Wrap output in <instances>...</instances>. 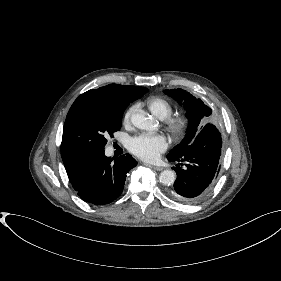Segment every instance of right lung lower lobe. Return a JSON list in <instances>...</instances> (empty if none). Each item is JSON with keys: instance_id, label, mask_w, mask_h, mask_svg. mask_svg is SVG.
I'll return each instance as SVG.
<instances>
[{"instance_id": "1", "label": "right lung lower lobe", "mask_w": 281, "mask_h": 281, "mask_svg": "<svg viewBox=\"0 0 281 281\" xmlns=\"http://www.w3.org/2000/svg\"><path fill=\"white\" fill-rule=\"evenodd\" d=\"M136 165L130 154L115 159L106 157L102 151L81 158L66 171L71 185L84 201L101 205L120 196L126 174Z\"/></svg>"}]
</instances>
